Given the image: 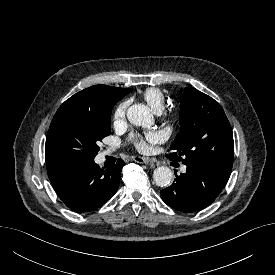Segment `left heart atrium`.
Returning a JSON list of instances; mask_svg holds the SVG:
<instances>
[{"label": "left heart atrium", "mask_w": 275, "mask_h": 275, "mask_svg": "<svg viewBox=\"0 0 275 275\" xmlns=\"http://www.w3.org/2000/svg\"><path fill=\"white\" fill-rule=\"evenodd\" d=\"M145 138L149 141H156L157 140V134L154 132H148L145 136ZM133 143L136 146V148H138L139 150H143L146 145H145V140L143 137L141 136H133L132 137Z\"/></svg>", "instance_id": "obj_1"}]
</instances>
